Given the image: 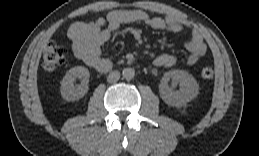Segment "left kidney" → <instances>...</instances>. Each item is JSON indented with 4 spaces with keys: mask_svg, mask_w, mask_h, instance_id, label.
<instances>
[{
    "mask_svg": "<svg viewBox=\"0 0 259 156\" xmlns=\"http://www.w3.org/2000/svg\"><path fill=\"white\" fill-rule=\"evenodd\" d=\"M172 80L173 86L179 82V90L174 91L168 82ZM199 85L195 78L183 70L165 72L159 84V93L162 100L171 106L182 107L198 95Z\"/></svg>",
    "mask_w": 259,
    "mask_h": 156,
    "instance_id": "1",
    "label": "left kidney"
}]
</instances>
